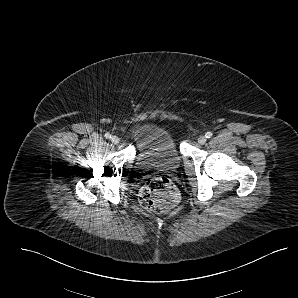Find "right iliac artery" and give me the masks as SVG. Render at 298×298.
<instances>
[{"label":"right iliac artery","mask_w":298,"mask_h":298,"mask_svg":"<svg viewBox=\"0 0 298 298\" xmlns=\"http://www.w3.org/2000/svg\"><path fill=\"white\" fill-rule=\"evenodd\" d=\"M105 137H106L107 139H110V138H111V134L107 132V133L105 134Z\"/></svg>","instance_id":"1"}]
</instances>
